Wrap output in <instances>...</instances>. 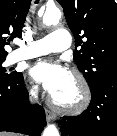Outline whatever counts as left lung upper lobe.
<instances>
[{
    "label": "left lung upper lobe",
    "mask_w": 117,
    "mask_h": 136,
    "mask_svg": "<svg viewBox=\"0 0 117 136\" xmlns=\"http://www.w3.org/2000/svg\"><path fill=\"white\" fill-rule=\"evenodd\" d=\"M75 37L74 60L90 89L117 76V4L114 0H57Z\"/></svg>",
    "instance_id": "1"
}]
</instances>
